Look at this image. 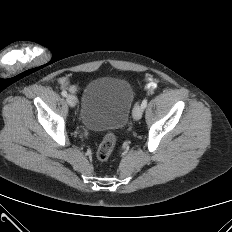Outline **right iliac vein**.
Returning a JSON list of instances; mask_svg holds the SVG:
<instances>
[{
    "label": "right iliac vein",
    "instance_id": "obj_1",
    "mask_svg": "<svg viewBox=\"0 0 232 232\" xmlns=\"http://www.w3.org/2000/svg\"><path fill=\"white\" fill-rule=\"evenodd\" d=\"M66 100H67V103L69 104V106H71V107L76 106L77 100H76V97L74 95H68L66 97Z\"/></svg>",
    "mask_w": 232,
    "mask_h": 232
}]
</instances>
